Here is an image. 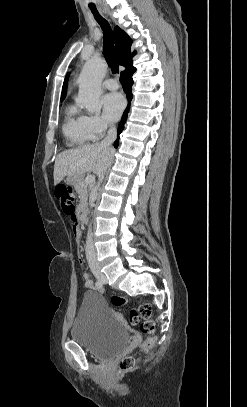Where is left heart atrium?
Masks as SVG:
<instances>
[{
    "instance_id": "obj_1",
    "label": "left heart atrium",
    "mask_w": 247,
    "mask_h": 407,
    "mask_svg": "<svg viewBox=\"0 0 247 407\" xmlns=\"http://www.w3.org/2000/svg\"><path fill=\"white\" fill-rule=\"evenodd\" d=\"M102 110L104 117L110 121L114 122L120 117L125 101L120 93L113 92L106 94L101 100Z\"/></svg>"
}]
</instances>
